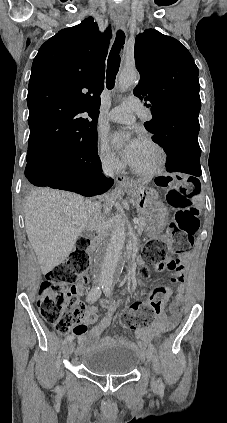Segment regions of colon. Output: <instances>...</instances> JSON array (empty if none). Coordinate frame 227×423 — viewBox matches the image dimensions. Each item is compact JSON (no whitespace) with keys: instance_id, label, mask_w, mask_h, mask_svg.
<instances>
[{"instance_id":"obj_1","label":"colon","mask_w":227,"mask_h":423,"mask_svg":"<svg viewBox=\"0 0 227 423\" xmlns=\"http://www.w3.org/2000/svg\"><path fill=\"white\" fill-rule=\"evenodd\" d=\"M156 185L165 190L168 203L177 209L170 228L172 250L176 254L187 252L192 248L194 235L200 226V211L193 202L199 184L190 178L175 181L159 178L156 180ZM89 244V239L81 237L67 260L46 274L38 292L37 305L42 317L60 332H67L70 327L81 323L84 319L85 307L79 300L80 286L77 280L79 278L86 280L90 263L87 255ZM143 259L155 265L160 271H168L171 282L182 281L184 278V266L181 260L169 256L165 243L161 240L146 243ZM140 275L143 279H148V270L143 268ZM169 293L167 286H158L148 301L135 302L122 312V324L131 329L151 325L153 318L163 311Z\"/></svg>"}]
</instances>
